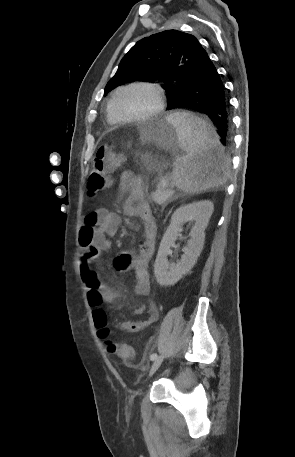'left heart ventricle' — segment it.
I'll return each instance as SVG.
<instances>
[{
  "label": "left heart ventricle",
  "mask_w": 295,
  "mask_h": 457,
  "mask_svg": "<svg viewBox=\"0 0 295 457\" xmlns=\"http://www.w3.org/2000/svg\"><path fill=\"white\" fill-rule=\"evenodd\" d=\"M156 105L152 90L133 87L121 91L114 102L115 113L120 117H137L151 111Z\"/></svg>",
  "instance_id": "b2bd125f"
}]
</instances>
